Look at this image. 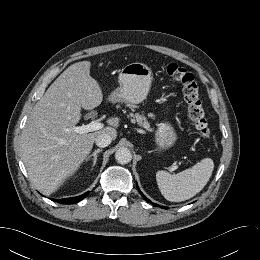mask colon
<instances>
[{
	"label": "colon",
	"mask_w": 260,
	"mask_h": 260,
	"mask_svg": "<svg viewBox=\"0 0 260 260\" xmlns=\"http://www.w3.org/2000/svg\"><path fill=\"white\" fill-rule=\"evenodd\" d=\"M164 71L172 79L181 84L183 97L187 104V116L192 127L202 138H209L210 131L204 109L199 98V88L194 75L174 63L166 64L164 66Z\"/></svg>",
	"instance_id": "1"
}]
</instances>
